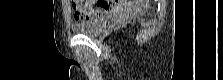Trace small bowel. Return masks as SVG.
<instances>
[{
  "label": "small bowel",
  "mask_w": 223,
  "mask_h": 80,
  "mask_svg": "<svg viewBox=\"0 0 223 80\" xmlns=\"http://www.w3.org/2000/svg\"><path fill=\"white\" fill-rule=\"evenodd\" d=\"M76 18L91 19L93 17L100 16L110 10H116L120 8V4L116 3H103L98 2L95 7H92L90 3H78L72 4Z\"/></svg>",
  "instance_id": "small-bowel-1"
}]
</instances>
